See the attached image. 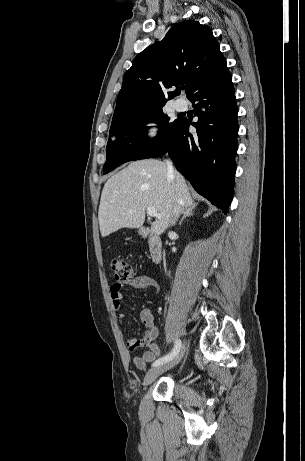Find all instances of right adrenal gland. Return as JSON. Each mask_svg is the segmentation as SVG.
I'll return each instance as SVG.
<instances>
[{"mask_svg":"<svg viewBox=\"0 0 305 461\" xmlns=\"http://www.w3.org/2000/svg\"><path fill=\"white\" fill-rule=\"evenodd\" d=\"M196 208V205H191L189 207H186L185 210L183 211V216L181 218V220L179 221V225L182 224V222L187 218V217H191L194 215V210Z\"/></svg>","mask_w":305,"mask_h":461,"instance_id":"obj_1","label":"right adrenal gland"}]
</instances>
